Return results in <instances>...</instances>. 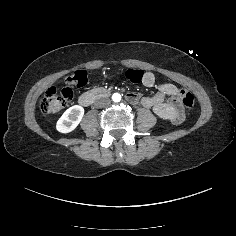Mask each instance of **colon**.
<instances>
[{
  "label": "colon",
  "instance_id": "1",
  "mask_svg": "<svg viewBox=\"0 0 236 236\" xmlns=\"http://www.w3.org/2000/svg\"><path fill=\"white\" fill-rule=\"evenodd\" d=\"M88 72L79 70L72 72L68 75L66 82L67 87L58 89L56 87L50 88L40 102V108L46 115L56 116L62 112L65 106L70 102L73 91L71 87H81L88 82ZM126 77L132 83H139L145 79L144 72L139 69H128L126 71ZM153 79V78H152ZM179 97L181 103L186 108H192L194 105V96L192 93L186 90L179 91Z\"/></svg>",
  "mask_w": 236,
  "mask_h": 236
}]
</instances>
